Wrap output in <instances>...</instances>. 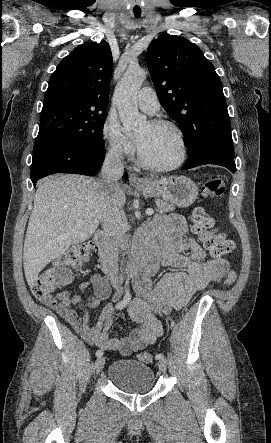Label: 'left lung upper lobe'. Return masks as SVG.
<instances>
[{"label": "left lung upper lobe", "mask_w": 271, "mask_h": 443, "mask_svg": "<svg viewBox=\"0 0 271 443\" xmlns=\"http://www.w3.org/2000/svg\"><path fill=\"white\" fill-rule=\"evenodd\" d=\"M146 62L158 99L180 125L189 154L210 140L233 142L221 80L197 45L165 33L150 43Z\"/></svg>", "instance_id": "1"}]
</instances>
